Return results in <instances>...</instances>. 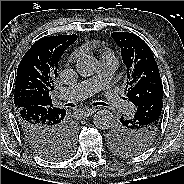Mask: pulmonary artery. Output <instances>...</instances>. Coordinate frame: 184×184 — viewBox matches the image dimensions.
<instances>
[{"instance_id": "e3ab8cb5", "label": "pulmonary artery", "mask_w": 184, "mask_h": 184, "mask_svg": "<svg viewBox=\"0 0 184 184\" xmlns=\"http://www.w3.org/2000/svg\"><path fill=\"white\" fill-rule=\"evenodd\" d=\"M117 65L118 62L113 55L101 57L100 68L96 75L75 85L61 89L58 92V96L68 101H78L104 89L103 98L115 112L130 113L133 110L132 104L109 87Z\"/></svg>"}]
</instances>
